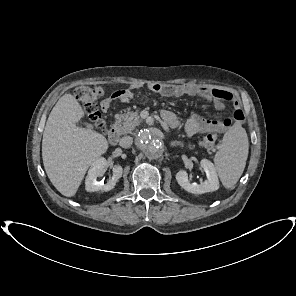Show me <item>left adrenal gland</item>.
Segmentation results:
<instances>
[{
  "label": "left adrenal gland",
  "mask_w": 296,
  "mask_h": 296,
  "mask_svg": "<svg viewBox=\"0 0 296 296\" xmlns=\"http://www.w3.org/2000/svg\"><path fill=\"white\" fill-rule=\"evenodd\" d=\"M170 146H172V147H176V146L183 147V144L178 142V141H171Z\"/></svg>",
  "instance_id": "a2214340"
}]
</instances>
